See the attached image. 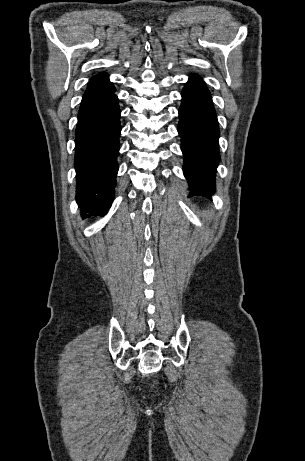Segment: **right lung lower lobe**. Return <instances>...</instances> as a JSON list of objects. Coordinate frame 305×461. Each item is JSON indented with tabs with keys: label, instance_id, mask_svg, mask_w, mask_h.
<instances>
[{
	"label": "right lung lower lobe",
	"instance_id": "right-lung-lower-lobe-1",
	"mask_svg": "<svg viewBox=\"0 0 305 461\" xmlns=\"http://www.w3.org/2000/svg\"><path fill=\"white\" fill-rule=\"evenodd\" d=\"M108 74L94 76L83 95L75 132L76 200L82 217L105 215L114 198L121 131L118 98Z\"/></svg>",
	"mask_w": 305,
	"mask_h": 461
}]
</instances>
